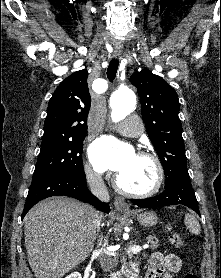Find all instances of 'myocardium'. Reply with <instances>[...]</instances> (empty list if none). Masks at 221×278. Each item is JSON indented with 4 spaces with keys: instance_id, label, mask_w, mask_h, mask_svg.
Segmentation results:
<instances>
[{
    "instance_id": "obj_1",
    "label": "myocardium",
    "mask_w": 221,
    "mask_h": 278,
    "mask_svg": "<svg viewBox=\"0 0 221 278\" xmlns=\"http://www.w3.org/2000/svg\"><path fill=\"white\" fill-rule=\"evenodd\" d=\"M136 154L139 156L147 157L153 161V163L156 167V181H155L154 186L146 191L129 190L122 186V184L119 181L118 175L114 177L113 185L119 193H121L125 196H128V197H137V198L152 197L161 190V188L164 184L165 172H164L163 164H162L160 158L156 154H154L148 150H139L136 152Z\"/></svg>"
}]
</instances>
